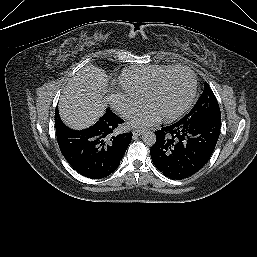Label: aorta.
Returning <instances> with one entry per match:
<instances>
[{
  "label": "aorta",
  "mask_w": 257,
  "mask_h": 257,
  "mask_svg": "<svg viewBox=\"0 0 257 257\" xmlns=\"http://www.w3.org/2000/svg\"><path fill=\"white\" fill-rule=\"evenodd\" d=\"M142 140L146 145H153L156 142V135L151 131H145L142 134Z\"/></svg>",
  "instance_id": "aorta-1"
}]
</instances>
